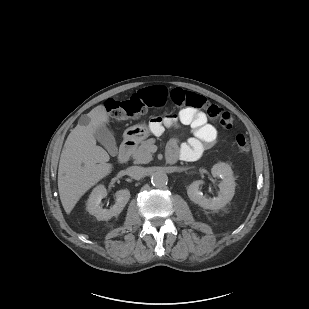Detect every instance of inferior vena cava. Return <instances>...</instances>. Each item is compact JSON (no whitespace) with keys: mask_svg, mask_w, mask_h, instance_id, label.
Instances as JSON below:
<instances>
[{"mask_svg":"<svg viewBox=\"0 0 309 309\" xmlns=\"http://www.w3.org/2000/svg\"><path fill=\"white\" fill-rule=\"evenodd\" d=\"M127 174L133 179L139 180L145 174V169L140 166H131L127 168Z\"/></svg>","mask_w":309,"mask_h":309,"instance_id":"inferior-vena-cava-1","label":"inferior vena cava"}]
</instances>
